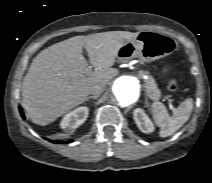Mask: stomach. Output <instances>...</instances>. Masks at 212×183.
<instances>
[{
	"instance_id": "1",
	"label": "stomach",
	"mask_w": 212,
	"mask_h": 183,
	"mask_svg": "<svg viewBox=\"0 0 212 183\" xmlns=\"http://www.w3.org/2000/svg\"><path fill=\"white\" fill-rule=\"evenodd\" d=\"M176 48L177 41L169 35L156 31H141L134 40L121 47L117 57L121 62H127L134 57L143 62H152L172 54ZM163 72L167 73L168 69L163 68Z\"/></svg>"
}]
</instances>
